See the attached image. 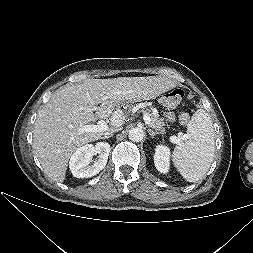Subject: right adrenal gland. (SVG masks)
<instances>
[{"mask_svg": "<svg viewBox=\"0 0 253 253\" xmlns=\"http://www.w3.org/2000/svg\"><path fill=\"white\" fill-rule=\"evenodd\" d=\"M110 137H112V136H108V137H103L102 139H108V138H110Z\"/></svg>", "mask_w": 253, "mask_h": 253, "instance_id": "right-adrenal-gland-1", "label": "right adrenal gland"}]
</instances>
